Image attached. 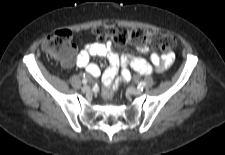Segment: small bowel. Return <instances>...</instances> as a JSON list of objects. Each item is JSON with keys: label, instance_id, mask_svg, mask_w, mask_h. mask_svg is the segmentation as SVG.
Wrapping results in <instances>:
<instances>
[{"label": "small bowel", "instance_id": "c3829d8e", "mask_svg": "<svg viewBox=\"0 0 225 155\" xmlns=\"http://www.w3.org/2000/svg\"><path fill=\"white\" fill-rule=\"evenodd\" d=\"M71 43L75 47L83 46L77 55L76 64L85 68L86 72L93 77L100 76L101 70L96 63L90 62V57L101 56L107 58L109 64L104 69L102 83L103 88L109 86L112 90H114L113 79L119 72L122 80L126 81L130 78L127 66H131L141 74L159 73L167 69L174 59V55L171 52H166L162 55L153 52L150 55V61L129 54L119 55L113 51L111 43L97 42V37L93 33L75 32L71 36ZM137 49L141 53L148 52L146 45L137 46ZM64 65L70 66L71 62H64Z\"/></svg>", "mask_w": 225, "mask_h": 155}]
</instances>
